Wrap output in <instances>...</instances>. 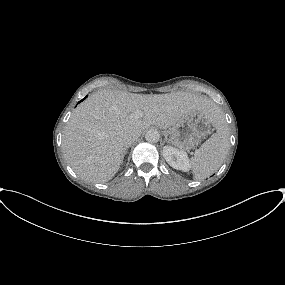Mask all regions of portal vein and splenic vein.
Returning a JSON list of instances; mask_svg holds the SVG:
<instances>
[{
    "mask_svg": "<svg viewBox=\"0 0 285 285\" xmlns=\"http://www.w3.org/2000/svg\"><path fill=\"white\" fill-rule=\"evenodd\" d=\"M133 116L138 118V117L142 116V114L139 111H135Z\"/></svg>",
    "mask_w": 285,
    "mask_h": 285,
    "instance_id": "1",
    "label": "portal vein and splenic vein"
}]
</instances>
